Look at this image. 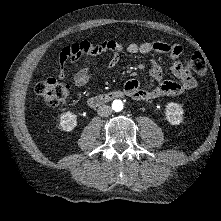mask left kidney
I'll use <instances>...</instances> for the list:
<instances>
[{
  "label": "left kidney",
  "mask_w": 221,
  "mask_h": 221,
  "mask_svg": "<svg viewBox=\"0 0 221 221\" xmlns=\"http://www.w3.org/2000/svg\"><path fill=\"white\" fill-rule=\"evenodd\" d=\"M183 108L181 104L169 102L166 105V120L171 125H179L183 121Z\"/></svg>",
  "instance_id": "obj_1"
}]
</instances>
